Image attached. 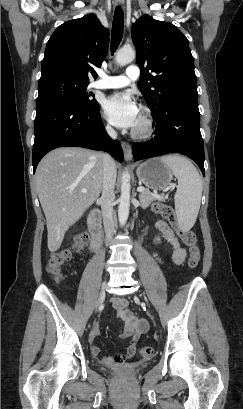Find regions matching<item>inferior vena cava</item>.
I'll use <instances>...</instances> for the list:
<instances>
[{"instance_id":"obj_1","label":"inferior vena cava","mask_w":243,"mask_h":409,"mask_svg":"<svg viewBox=\"0 0 243 409\" xmlns=\"http://www.w3.org/2000/svg\"><path fill=\"white\" fill-rule=\"evenodd\" d=\"M107 133L112 139L117 138L116 131L110 127H106ZM116 182V166L113 158L109 154L103 155V185L102 195L100 198L103 224L106 233L107 241H111L115 232L113 220V202L115 199L114 188Z\"/></svg>"}]
</instances>
